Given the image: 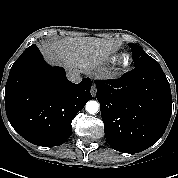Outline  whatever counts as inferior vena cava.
<instances>
[{
  "mask_svg": "<svg viewBox=\"0 0 178 178\" xmlns=\"http://www.w3.org/2000/svg\"><path fill=\"white\" fill-rule=\"evenodd\" d=\"M67 77L71 82L74 83H79L82 80L80 74L77 72H70Z\"/></svg>",
  "mask_w": 178,
  "mask_h": 178,
  "instance_id": "1",
  "label": "inferior vena cava"
}]
</instances>
